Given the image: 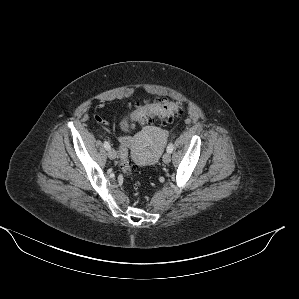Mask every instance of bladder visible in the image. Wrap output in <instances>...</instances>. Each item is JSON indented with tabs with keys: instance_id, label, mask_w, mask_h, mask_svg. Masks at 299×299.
Instances as JSON below:
<instances>
[{
	"instance_id": "1",
	"label": "bladder",
	"mask_w": 299,
	"mask_h": 299,
	"mask_svg": "<svg viewBox=\"0 0 299 299\" xmlns=\"http://www.w3.org/2000/svg\"><path fill=\"white\" fill-rule=\"evenodd\" d=\"M122 129L124 131H129L130 130V124L125 119L122 120Z\"/></svg>"
}]
</instances>
